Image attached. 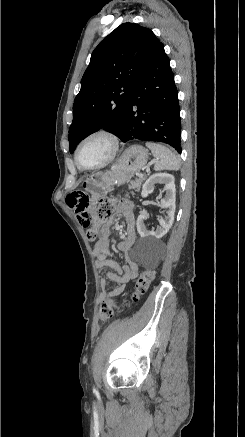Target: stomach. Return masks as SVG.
<instances>
[{"label": "stomach", "mask_w": 245, "mask_h": 437, "mask_svg": "<svg viewBox=\"0 0 245 437\" xmlns=\"http://www.w3.org/2000/svg\"><path fill=\"white\" fill-rule=\"evenodd\" d=\"M148 151L141 145L128 147L118 162L106 172H96L88 175L81 187L90 193L92 199L98 200L114 189L128 182L133 174L140 171L147 163Z\"/></svg>", "instance_id": "obj_1"}]
</instances>
